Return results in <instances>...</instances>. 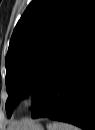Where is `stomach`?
<instances>
[{
  "label": "stomach",
  "mask_w": 95,
  "mask_h": 130,
  "mask_svg": "<svg viewBox=\"0 0 95 130\" xmlns=\"http://www.w3.org/2000/svg\"><path fill=\"white\" fill-rule=\"evenodd\" d=\"M12 130H44L43 126L41 124H38L36 122H28L22 126L20 129H12Z\"/></svg>",
  "instance_id": "1"
}]
</instances>
